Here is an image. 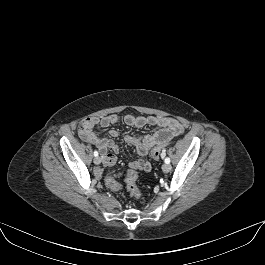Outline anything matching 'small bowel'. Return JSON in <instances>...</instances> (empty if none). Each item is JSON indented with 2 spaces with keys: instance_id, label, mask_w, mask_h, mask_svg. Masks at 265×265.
I'll return each mask as SVG.
<instances>
[{
  "instance_id": "1",
  "label": "small bowel",
  "mask_w": 265,
  "mask_h": 265,
  "mask_svg": "<svg viewBox=\"0 0 265 265\" xmlns=\"http://www.w3.org/2000/svg\"><path fill=\"white\" fill-rule=\"evenodd\" d=\"M124 120L127 125L137 128L145 126H155L159 128L151 135H127L125 137V141L128 144L133 145L140 156L148 155L154 147L167 143L183 131L181 124L177 120L169 117L127 115ZM118 121L119 117L116 114L88 118L85 120L88 126V131L81 134L84 141L96 146L102 152V159L104 165L107 167L114 166L116 162L114 153L118 152L119 147L113 139L98 137L92 131V128L96 125L108 127L117 124ZM109 134L112 138H117L119 136V132L115 129L110 130ZM108 150H111L114 153H110ZM129 167L130 169H134L136 171L149 172L151 170V164L143 159L131 161L129 163ZM95 175L98 178L101 177L102 171L97 169L95 171Z\"/></svg>"
}]
</instances>
